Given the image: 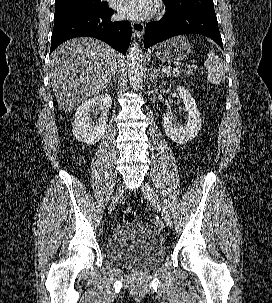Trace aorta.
I'll return each instance as SVG.
<instances>
[{
	"label": "aorta",
	"instance_id": "762f6f07",
	"mask_svg": "<svg viewBox=\"0 0 272 303\" xmlns=\"http://www.w3.org/2000/svg\"><path fill=\"white\" fill-rule=\"evenodd\" d=\"M126 63L130 85L134 90H138L143 82V62L142 50L137 42L129 47Z\"/></svg>",
	"mask_w": 272,
	"mask_h": 303
}]
</instances>
